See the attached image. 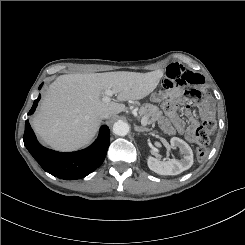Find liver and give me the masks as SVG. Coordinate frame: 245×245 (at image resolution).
Masks as SVG:
<instances>
[{"instance_id": "1", "label": "liver", "mask_w": 245, "mask_h": 245, "mask_svg": "<svg viewBox=\"0 0 245 245\" xmlns=\"http://www.w3.org/2000/svg\"><path fill=\"white\" fill-rule=\"evenodd\" d=\"M158 69L148 73L106 72L59 76L45 95L32 126L39 137L58 151H74L90 142L101 124V115L125 110L123 102L149 95L163 77ZM111 89L117 102L105 103L101 95Z\"/></svg>"}]
</instances>
